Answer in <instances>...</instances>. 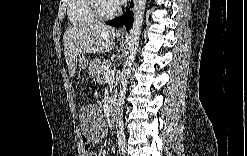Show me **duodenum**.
<instances>
[{
	"instance_id": "1",
	"label": "duodenum",
	"mask_w": 247,
	"mask_h": 156,
	"mask_svg": "<svg viewBox=\"0 0 247 156\" xmlns=\"http://www.w3.org/2000/svg\"><path fill=\"white\" fill-rule=\"evenodd\" d=\"M109 118L111 121H115L117 118V107L114 103V97L110 99Z\"/></svg>"
}]
</instances>
